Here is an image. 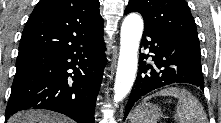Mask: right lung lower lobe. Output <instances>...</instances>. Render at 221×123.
<instances>
[{
	"mask_svg": "<svg viewBox=\"0 0 221 123\" xmlns=\"http://www.w3.org/2000/svg\"><path fill=\"white\" fill-rule=\"evenodd\" d=\"M103 34L57 51L19 56L6 119L29 108L48 109L78 123H94L96 97L106 65ZM73 70L68 73L67 70Z\"/></svg>",
	"mask_w": 221,
	"mask_h": 123,
	"instance_id": "obj_1",
	"label": "right lung lower lobe"
}]
</instances>
